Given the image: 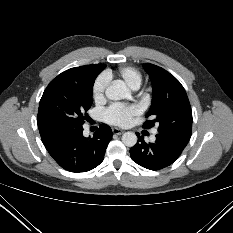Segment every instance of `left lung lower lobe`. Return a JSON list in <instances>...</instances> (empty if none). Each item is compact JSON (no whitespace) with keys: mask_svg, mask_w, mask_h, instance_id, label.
I'll use <instances>...</instances> for the list:
<instances>
[{"mask_svg":"<svg viewBox=\"0 0 233 233\" xmlns=\"http://www.w3.org/2000/svg\"><path fill=\"white\" fill-rule=\"evenodd\" d=\"M138 139L139 142L130 149V156L135 163L149 170L171 165L190 140L189 137L167 133H158L154 143H146L143 136L138 135Z\"/></svg>","mask_w":233,"mask_h":233,"instance_id":"0a47b994","label":"left lung lower lobe"}]
</instances>
